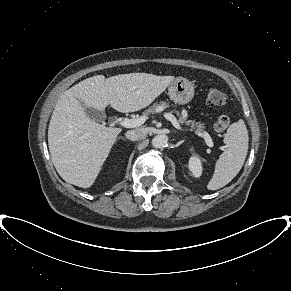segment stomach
Masks as SVG:
<instances>
[{
	"label": "stomach",
	"mask_w": 291,
	"mask_h": 291,
	"mask_svg": "<svg viewBox=\"0 0 291 291\" xmlns=\"http://www.w3.org/2000/svg\"><path fill=\"white\" fill-rule=\"evenodd\" d=\"M168 94L172 101L179 105L189 103L194 97V84L186 78H175L168 87Z\"/></svg>",
	"instance_id": "1"
}]
</instances>
